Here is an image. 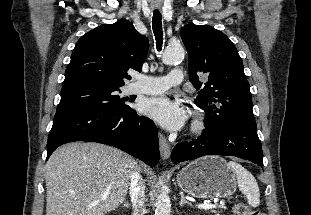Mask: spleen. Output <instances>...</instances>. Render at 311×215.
Wrapping results in <instances>:
<instances>
[{"instance_id":"1","label":"spleen","mask_w":311,"mask_h":215,"mask_svg":"<svg viewBox=\"0 0 311 215\" xmlns=\"http://www.w3.org/2000/svg\"><path fill=\"white\" fill-rule=\"evenodd\" d=\"M228 165L236 174L239 190L245 194L249 205L257 207L260 203V192L254 176L237 162L230 161Z\"/></svg>"}]
</instances>
